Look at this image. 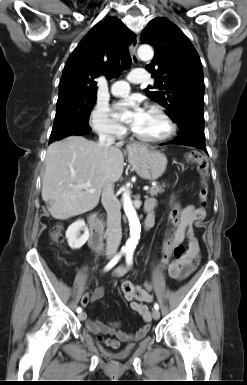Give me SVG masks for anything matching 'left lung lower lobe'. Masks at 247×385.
<instances>
[{
    "label": "left lung lower lobe",
    "instance_id": "obj_1",
    "mask_svg": "<svg viewBox=\"0 0 247 385\" xmlns=\"http://www.w3.org/2000/svg\"><path fill=\"white\" fill-rule=\"evenodd\" d=\"M180 132L175 141L169 143H178L181 145L193 146L206 150L204 135V119L203 118H185L178 123Z\"/></svg>",
    "mask_w": 247,
    "mask_h": 385
}]
</instances>
